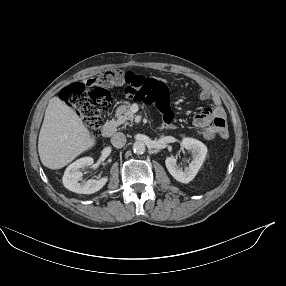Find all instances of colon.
Wrapping results in <instances>:
<instances>
[{"mask_svg": "<svg viewBox=\"0 0 286 286\" xmlns=\"http://www.w3.org/2000/svg\"><path fill=\"white\" fill-rule=\"evenodd\" d=\"M116 75L117 73L113 71L106 72L100 81L109 82ZM124 79L127 83L126 94L128 96L140 95L147 102H154L164 114V120H172L174 114L170 111L167 87L163 82L130 73H125ZM61 99L78 110L81 119L93 134L99 132L103 124L104 113L110 109L112 104L111 95L105 88H89L82 83H74L64 88ZM198 123L199 135L206 142L214 143L228 136L223 122L217 117L209 116L198 119Z\"/></svg>", "mask_w": 286, "mask_h": 286, "instance_id": "5ec220e1", "label": "colon"}]
</instances>
